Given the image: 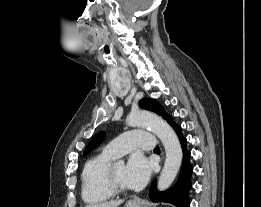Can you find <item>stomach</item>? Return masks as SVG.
<instances>
[{
    "mask_svg": "<svg viewBox=\"0 0 261 207\" xmlns=\"http://www.w3.org/2000/svg\"><path fill=\"white\" fill-rule=\"evenodd\" d=\"M124 207H152L148 202L142 200H129Z\"/></svg>",
    "mask_w": 261,
    "mask_h": 207,
    "instance_id": "0dacf381",
    "label": "stomach"
}]
</instances>
